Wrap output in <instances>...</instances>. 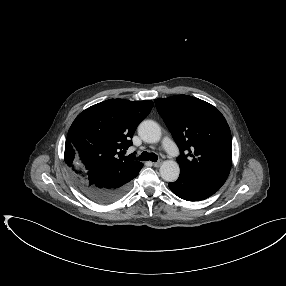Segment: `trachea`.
I'll return each instance as SVG.
<instances>
[{
    "instance_id": "obj_1",
    "label": "trachea",
    "mask_w": 286,
    "mask_h": 286,
    "mask_svg": "<svg viewBox=\"0 0 286 286\" xmlns=\"http://www.w3.org/2000/svg\"><path fill=\"white\" fill-rule=\"evenodd\" d=\"M138 160L142 161L150 160L156 162L158 160V156L155 153H148L145 151L138 157Z\"/></svg>"
}]
</instances>
